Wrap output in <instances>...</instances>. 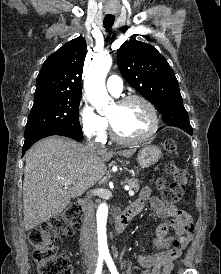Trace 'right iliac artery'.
Returning a JSON list of instances; mask_svg holds the SVG:
<instances>
[{"mask_svg": "<svg viewBox=\"0 0 221 274\" xmlns=\"http://www.w3.org/2000/svg\"><path fill=\"white\" fill-rule=\"evenodd\" d=\"M103 260H104L103 256L98 257L97 267H96V270H95L94 274H101L102 273Z\"/></svg>", "mask_w": 221, "mask_h": 274, "instance_id": "82829eb1", "label": "right iliac artery"}]
</instances>
